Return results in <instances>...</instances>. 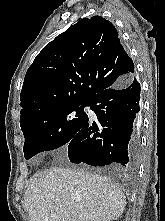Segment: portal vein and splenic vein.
Returning <instances> with one entry per match:
<instances>
[{
  "instance_id": "1",
  "label": "portal vein and splenic vein",
  "mask_w": 165,
  "mask_h": 221,
  "mask_svg": "<svg viewBox=\"0 0 165 221\" xmlns=\"http://www.w3.org/2000/svg\"><path fill=\"white\" fill-rule=\"evenodd\" d=\"M51 217L52 218H57V215L53 213V214H51ZM71 221H75V220H71Z\"/></svg>"
}]
</instances>
